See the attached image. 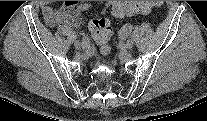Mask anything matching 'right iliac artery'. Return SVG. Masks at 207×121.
<instances>
[{
	"instance_id": "82829eb1",
	"label": "right iliac artery",
	"mask_w": 207,
	"mask_h": 121,
	"mask_svg": "<svg viewBox=\"0 0 207 121\" xmlns=\"http://www.w3.org/2000/svg\"><path fill=\"white\" fill-rule=\"evenodd\" d=\"M89 38L87 36H84L82 39V45L83 47H87L89 45Z\"/></svg>"
}]
</instances>
